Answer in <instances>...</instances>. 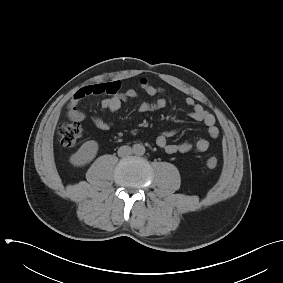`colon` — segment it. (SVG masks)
<instances>
[{"instance_id":"1","label":"colon","mask_w":283,"mask_h":283,"mask_svg":"<svg viewBox=\"0 0 283 283\" xmlns=\"http://www.w3.org/2000/svg\"><path fill=\"white\" fill-rule=\"evenodd\" d=\"M83 128L79 122H64L58 128L60 142L64 147H72L81 137ZM219 161L216 157H209L205 161V165L209 169L217 168Z\"/></svg>"}]
</instances>
